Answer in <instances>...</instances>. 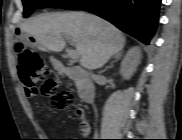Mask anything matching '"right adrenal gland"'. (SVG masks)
I'll return each instance as SVG.
<instances>
[{"mask_svg":"<svg viewBox=\"0 0 182 140\" xmlns=\"http://www.w3.org/2000/svg\"><path fill=\"white\" fill-rule=\"evenodd\" d=\"M120 57H121V53L115 54V55L113 56V59H114V60L111 62V65H110V66L106 67V69L110 68L114 62H116V61H118V60L120 59ZM106 69H105V70H106ZM105 70H103V71H105ZM103 71H101L100 73H102Z\"/></svg>","mask_w":182,"mask_h":140,"instance_id":"right-adrenal-gland-1","label":"right adrenal gland"}]
</instances>
